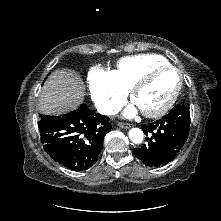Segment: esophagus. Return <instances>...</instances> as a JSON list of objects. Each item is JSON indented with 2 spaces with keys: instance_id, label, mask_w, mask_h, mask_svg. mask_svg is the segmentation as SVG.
<instances>
[{
  "instance_id": "1",
  "label": "esophagus",
  "mask_w": 221,
  "mask_h": 221,
  "mask_svg": "<svg viewBox=\"0 0 221 221\" xmlns=\"http://www.w3.org/2000/svg\"><path fill=\"white\" fill-rule=\"evenodd\" d=\"M118 126H119L120 128H123V129H128V128H130V124H128V123H123V122H119V123H118Z\"/></svg>"
}]
</instances>
